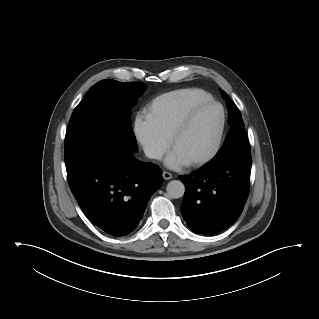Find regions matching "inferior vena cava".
<instances>
[{"instance_id": "602c4592", "label": "inferior vena cava", "mask_w": 319, "mask_h": 319, "mask_svg": "<svg viewBox=\"0 0 319 319\" xmlns=\"http://www.w3.org/2000/svg\"><path fill=\"white\" fill-rule=\"evenodd\" d=\"M144 153H145L146 157H148L150 159H160L162 157L161 152H159L156 149L149 148V147H146L144 149Z\"/></svg>"}]
</instances>
